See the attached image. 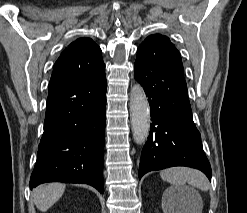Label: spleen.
Listing matches in <instances>:
<instances>
[{
	"instance_id": "3e777b00",
	"label": "spleen",
	"mask_w": 247,
	"mask_h": 213,
	"mask_svg": "<svg viewBox=\"0 0 247 213\" xmlns=\"http://www.w3.org/2000/svg\"><path fill=\"white\" fill-rule=\"evenodd\" d=\"M160 176L164 181L169 182L176 187H182L188 183L192 187L198 188L202 191H207L209 189L207 177L202 172L195 169L173 167L162 170ZM171 191L172 189H169L166 192L171 193Z\"/></svg>"
}]
</instances>
